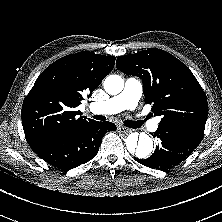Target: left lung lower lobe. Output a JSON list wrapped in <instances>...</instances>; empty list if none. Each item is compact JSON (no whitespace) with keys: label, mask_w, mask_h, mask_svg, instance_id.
<instances>
[{"label":"left lung lower lobe","mask_w":222,"mask_h":222,"mask_svg":"<svg viewBox=\"0 0 222 222\" xmlns=\"http://www.w3.org/2000/svg\"><path fill=\"white\" fill-rule=\"evenodd\" d=\"M204 129L184 123H159L154 137L161 140L154 153L147 159L135 158L140 164L166 171L184 161L201 142Z\"/></svg>","instance_id":"0a47b994"}]
</instances>
